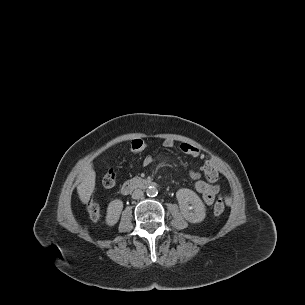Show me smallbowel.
Returning <instances> with one entry per match:
<instances>
[{
  "instance_id": "c3829d8e",
  "label": "small bowel",
  "mask_w": 305,
  "mask_h": 305,
  "mask_svg": "<svg viewBox=\"0 0 305 305\" xmlns=\"http://www.w3.org/2000/svg\"><path fill=\"white\" fill-rule=\"evenodd\" d=\"M174 145L175 142L173 139L168 138L163 141V146L167 149L173 148ZM179 148L180 151L187 156L200 157L204 160V179H202V174L198 171H191L190 176L196 180L195 190L202 196L204 203L206 205H212L219 192V186L216 184L219 177V171L214 159L198 147L186 142L181 143ZM152 162V156L148 155L143 159L145 166L150 165Z\"/></svg>"
}]
</instances>
